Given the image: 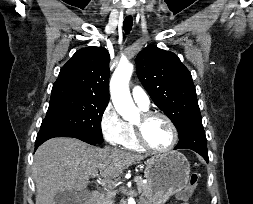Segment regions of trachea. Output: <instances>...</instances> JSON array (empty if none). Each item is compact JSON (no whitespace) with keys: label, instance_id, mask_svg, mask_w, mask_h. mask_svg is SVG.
Returning a JSON list of instances; mask_svg holds the SVG:
<instances>
[{"label":"trachea","instance_id":"1","mask_svg":"<svg viewBox=\"0 0 253 204\" xmlns=\"http://www.w3.org/2000/svg\"><path fill=\"white\" fill-rule=\"evenodd\" d=\"M132 26H133V18L131 15H128L123 22V29L126 34L130 33V31L132 30Z\"/></svg>","mask_w":253,"mask_h":204}]
</instances>
